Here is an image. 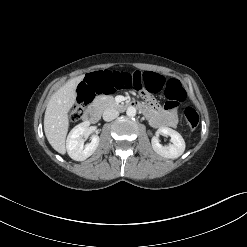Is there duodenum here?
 Segmentation results:
<instances>
[{"label": "duodenum", "mask_w": 247, "mask_h": 247, "mask_svg": "<svg viewBox=\"0 0 247 247\" xmlns=\"http://www.w3.org/2000/svg\"><path fill=\"white\" fill-rule=\"evenodd\" d=\"M129 107L136 108L142 111L145 109L144 104L140 101H132L129 103H120L116 105V108L118 110H124ZM99 118H100V112L96 107L88 108L84 114V120L87 122L94 123V122H97Z\"/></svg>", "instance_id": "duodenum-1"}]
</instances>
